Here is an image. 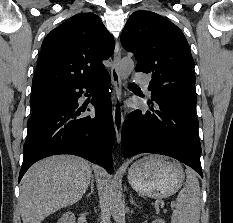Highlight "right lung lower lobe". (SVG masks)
Instances as JSON below:
<instances>
[{
	"label": "right lung lower lobe",
	"instance_id": "1",
	"mask_svg": "<svg viewBox=\"0 0 233 223\" xmlns=\"http://www.w3.org/2000/svg\"><path fill=\"white\" fill-rule=\"evenodd\" d=\"M110 76L94 81L40 90L31 98L38 102L27 122L24 160L19 181L36 161L58 154H72L97 163L112 172L115 137L111 113ZM86 89L93 98L95 114L88 115L78 99Z\"/></svg>",
	"mask_w": 233,
	"mask_h": 223
}]
</instances>
